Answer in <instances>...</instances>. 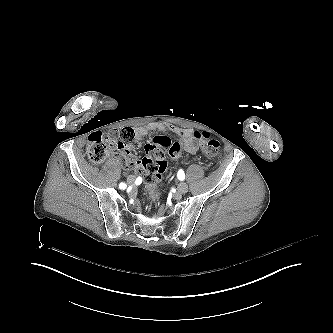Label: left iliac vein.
<instances>
[{
    "instance_id": "1",
    "label": "left iliac vein",
    "mask_w": 333,
    "mask_h": 333,
    "mask_svg": "<svg viewBox=\"0 0 333 333\" xmlns=\"http://www.w3.org/2000/svg\"><path fill=\"white\" fill-rule=\"evenodd\" d=\"M187 190H188V186H187L186 183L181 182V183L178 184V186H177L178 194H184V193L187 192Z\"/></svg>"
}]
</instances>
